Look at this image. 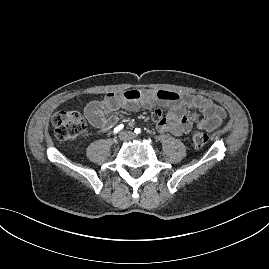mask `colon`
Segmentation results:
<instances>
[{"mask_svg": "<svg viewBox=\"0 0 269 269\" xmlns=\"http://www.w3.org/2000/svg\"><path fill=\"white\" fill-rule=\"evenodd\" d=\"M161 110L156 108L152 115L160 113ZM54 134L60 141H69L79 137L86 129V119L73 110L60 111L52 117ZM192 142L195 147L201 148L208 142V135L203 131L196 130L192 134Z\"/></svg>", "mask_w": 269, "mask_h": 269, "instance_id": "5ec220e1", "label": "colon"}]
</instances>
